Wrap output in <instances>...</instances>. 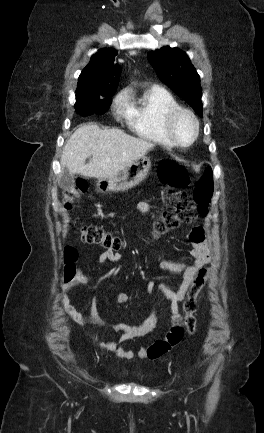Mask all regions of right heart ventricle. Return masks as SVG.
<instances>
[{
    "mask_svg": "<svg viewBox=\"0 0 264 433\" xmlns=\"http://www.w3.org/2000/svg\"><path fill=\"white\" fill-rule=\"evenodd\" d=\"M173 95L162 88H151L129 100L126 123L136 136L165 146H173L163 128L164 114L177 107Z\"/></svg>",
    "mask_w": 264,
    "mask_h": 433,
    "instance_id": "e07e8e85",
    "label": "right heart ventricle"
}]
</instances>
